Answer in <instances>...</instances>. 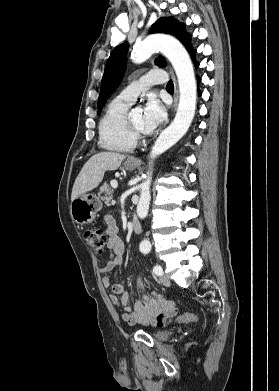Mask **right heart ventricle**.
I'll use <instances>...</instances> for the list:
<instances>
[{
	"label": "right heart ventricle",
	"mask_w": 279,
	"mask_h": 391,
	"mask_svg": "<svg viewBox=\"0 0 279 391\" xmlns=\"http://www.w3.org/2000/svg\"><path fill=\"white\" fill-rule=\"evenodd\" d=\"M132 102L120 98L112 99L107 105L99 122V144L109 151L128 152L135 148L125 122V117Z\"/></svg>",
	"instance_id": "right-heart-ventricle-1"
}]
</instances>
